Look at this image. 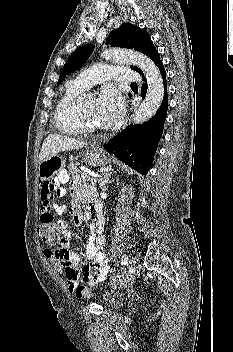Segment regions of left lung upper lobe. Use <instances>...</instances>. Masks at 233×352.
I'll use <instances>...</instances> for the list:
<instances>
[{
	"label": "left lung upper lobe",
	"mask_w": 233,
	"mask_h": 352,
	"mask_svg": "<svg viewBox=\"0 0 233 352\" xmlns=\"http://www.w3.org/2000/svg\"><path fill=\"white\" fill-rule=\"evenodd\" d=\"M106 44H110L112 47H125L140 51L150 57L156 65L161 61L159 53L153 45L149 33L130 23H123L118 29L111 31L106 40ZM93 49L94 46L92 44L77 49L68 58L61 71L57 84L59 85L69 73L81 68L91 55ZM131 68L144 76L139 68L135 66H131ZM129 96L131 97V94H129Z\"/></svg>",
	"instance_id": "left-lung-upper-lobe-1"
}]
</instances>
